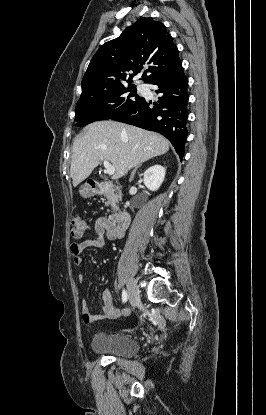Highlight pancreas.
Wrapping results in <instances>:
<instances>
[{"label":"pancreas","instance_id":"obj_1","mask_svg":"<svg viewBox=\"0 0 266 415\" xmlns=\"http://www.w3.org/2000/svg\"><path fill=\"white\" fill-rule=\"evenodd\" d=\"M104 196L107 199V202L105 203L106 206H110V210L117 211V202H118V195L115 193V189L113 188H107L104 191Z\"/></svg>","mask_w":266,"mask_h":415}]
</instances>
